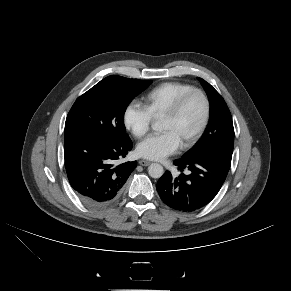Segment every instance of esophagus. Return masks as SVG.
<instances>
[{
	"label": "esophagus",
	"mask_w": 291,
	"mask_h": 291,
	"mask_svg": "<svg viewBox=\"0 0 291 291\" xmlns=\"http://www.w3.org/2000/svg\"><path fill=\"white\" fill-rule=\"evenodd\" d=\"M139 164H140L141 166H148V165L151 164V162L148 161V160L141 159V160L139 161Z\"/></svg>",
	"instance_id": "obj_1"
}]
</instances>
